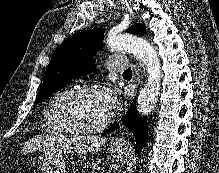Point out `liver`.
I'll return each mask as SVG.
<instances>
[{"label": "liver", "instance_id": "6515ba94", "mask_svg": "<svg viewBox=\"0 0 219 173\" xmlns=\"http://www.w3.org/2000/svg\"><path fill=\"white\" fill-rule=\"evenodd\" d=\"M105 143V139L97 136L87 137H62L54 138L51 136L38 135L29 140L23 147V154H27L32 150L49 149L67 151L69 153L93 152Z\"/></svg>", "mask_w": 219, "mask_h": 173}]
</instances>
